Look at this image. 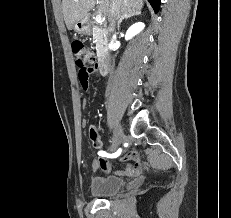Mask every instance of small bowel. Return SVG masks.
<instances>
[{"label": "small bowel", "mask_w": 231, "mask_h": 218, "mask_svg": "<svg viewBox=\"0 0 231 218\" xmlns=\"http://www.w3.org/2000/svg\"><path fill=\"white\" fill-rule=\"evenodd\" d=\"M98 64L94 63L92 66H85L84 69H78L79 74V81L81 84V87L84 91L88 89V80L91 74L94 73V68H97ZM89 137L92 142V145L95 149L99 151H102V140L100 137V134L98 130L92 126L89 129ZM99 155V154H98ZM120 154L117 156L119 157ZM115 157V158H117ZM120 162H122L124 165L117 170H115V174L118 176H134L138 175L141 170V157L136 152H129L122 156L120 158ZM91 167L93 169H102L103 171L109 173L113 169V164L110 163L107 159L104 157H101V155L98 156V158L92 160Z\"/></svg>", "instance_id": "1"}]
</instances>
